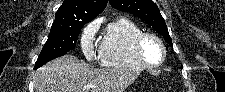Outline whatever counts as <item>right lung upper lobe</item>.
Segmentation results:
<instances>
[{"mask_svg":"<svg viewBox=\"0 0 225 92\" xmlns=\"http://www.w3.org/2000/svg\"><path fill=\"white\" fill-rule=\"evenodd\" d=\"M107 0H65L56 12L53 27L69 26L74 22H90L106 7Z\"/></svg>","mask_w":225,"mask_h":92,"instance_id":"obj_1","label":"right lung upper lobe"}]
</instances>
